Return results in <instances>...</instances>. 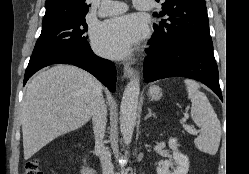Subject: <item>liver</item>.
<instances>
[{"instance_id": "liver-1", "label": "liver", "mask_w": 249, "mask_h": 174, "mask_svg": "<svg viewBox=\"0 0 249 174\" xmlns=\"http://www.w3.org/2000/svg\"><path fill=\"white\" fill-rule=\"evenodd\" d=\"M101 94V83L72 65H56L33 77L27 84L21 112L24 159L55 138L84 126Z\"/></svg>"}]
</instances>
